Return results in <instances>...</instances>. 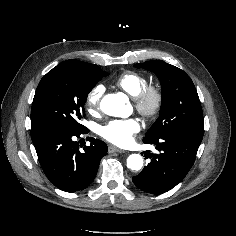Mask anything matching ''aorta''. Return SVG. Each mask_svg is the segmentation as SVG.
I'll list each match as a JSON object with an SVG mask.
<instances>
[{
  "label": "aorta",
  "mask_w": 236,
  "mask_h": 236,
  "mask_svg": "<svg viewBox=\"0 0 236 236\" xmlns=\"http://www.w3.org/2000/svg\"><path fill=\"white\" fill-rule=\"evenodd\" d=\"M128 103V98L122 93L106 95L100 104L102 112L109 116L122 117ZM127 167L139 171L143 167V158L139 154H131L127 158Z\"/></svg>",
  "instance_id": "aorta-1"
}]
</instances>
